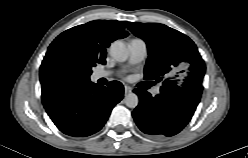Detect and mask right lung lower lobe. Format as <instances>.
Returning <instances> with one entry per match:
<instances>
[{
    "mask_svg": "<svg viewBox=\"0 0 248 158\" xmlns=\"http://www.w3.org/2000/svg\"><path fill=\"white\" fill-rule=\"evenodd\" d=\"M124 87L118 81L108 87L88 82L82 86L58 89L42 96L51 120L63 133L85 137L98 132L112 108L123 98Z\"/></svg>",
    "mask_w": 248,
    "mask_h": 158,
    "instance_id": "1",
    "label": "right lung lower lobe"
}]
</instances>
